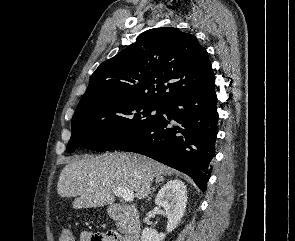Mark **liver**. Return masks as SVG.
<instances>
[{"label":"liver","mask_w":295,"mask_h":241,"mask_svg":"<svg viewBox=\"0 0 295 241\" xmlns=\"http://www.w3.org/2000/svg\"><path fill=\"white\" fill-rule=\"evenodd\" d=\"M172 170L139 154L106 153L76 157L60 173L57 193L75 197L74 209L100 207L115 201L114 189L127 188L135 197L148 196L154 178Z\"/></svg>","instance_id":"1"}]
</instances>
